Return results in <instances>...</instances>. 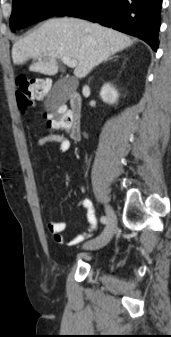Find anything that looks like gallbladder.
I'll return each instance as SVG.
<instances>
[{
    "mask_svg": "<svg viewBox=\"0 0 171 337\" xmlns=\"http://www.w3.org/2000/svg\"><path fill=\"white\" fill-rule=\"evenodd\" d=\"M75 90V85L68 78L59 79L51 90L46 105L50 110L56 109L64 103Z\"/></svg>",
    "mask_w": 171,
    "mask_h": 337,
    "instance_id": "obj_1",
    "label": "gallbladder"
}]
</instances>
